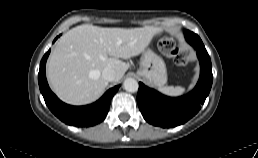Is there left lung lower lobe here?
I'll list each match as a JSON object with an SVG mask.
<instances>
[{"label":"left lung lower lobe","instance_id":"obj_1","mask_svg":"<svg viewBox=\"0 0 258 158\" xmlns=\"http://www.w3.org/2000/svg\"><path fill=\"white\" fill-rule=\"evenodd\" d=\"M184 35L197 52L201 67L200 78L189 94L178 98L164 96L140 82L137 103L144 119L152 125L165 128L184 124L197 114L210 92L213 82L210 57L197 34L185 31Z\"/></svg>","mask_w":258,"mask_h":158}]
</instances>
